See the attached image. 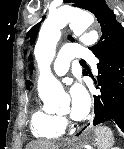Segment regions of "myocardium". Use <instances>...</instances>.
<instances>
[{
    "mask_svg": "<svg viewBox=\"0 0 124 149\" xmlns=\"http://www.w3.org/2000/svg\"><path fill=\"white\" fill-rule=\"evenodd\" d=\"M61 120L63 121V123H70L69 119L66 116H60ZM73 125V124H72Z\"/></svg>",
    "mask_w": 124,
    "mask_h": 149,
    "instance_id": "myocardium-1",
    "label": "myocardium"
}]
</instances>
